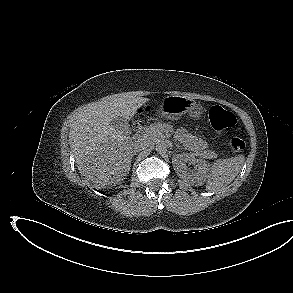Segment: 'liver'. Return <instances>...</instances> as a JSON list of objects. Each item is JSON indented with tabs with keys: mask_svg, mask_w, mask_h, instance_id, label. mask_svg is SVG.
Here are the masks:
<instances>
[{
	"mask_svg": "<svg viewBox=\"0 0 293 293\" xmlns=\"http://www.w3.org/2000/svg\"><path fill=\"white\" fill-rule=\"evenodd\" d=\"M148 98L119 93L89 103L74 113L69 145L80 173L96 186L120 184L130 171L133 144L111 121L130 120Z\"/></svg>",
	"mask_w": 293,
	"mask_h": 293,
	"instance_id": "obj_1",
	"label": "liver"
}]
</instances>
